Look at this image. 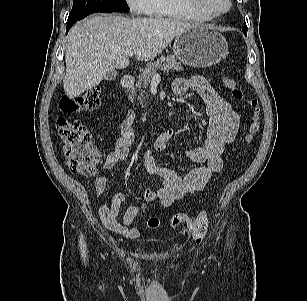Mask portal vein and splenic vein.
<instances>
[{"instance_id": "18ae733b", "label": "portal vein and splenic vein", "mask_w": 307, "mask_h": 301, "mask_svg": "<svg viewBox=\"0 0 307 301\" xmlns=\"http://www.w3.org/2000/svg\"><path fill=\"white\" fill-rule=\"evenodd\" d=\"M135 54H136V50H131V51L128 52V55H129V56H133V55H135ZM152 79H154V80H159V79H160V75H159L158 73H155V74L153 75Z\"/></svg>"}]
</instances>
